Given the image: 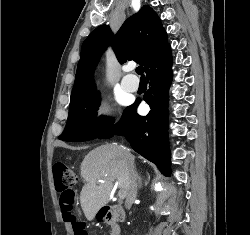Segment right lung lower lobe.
<instances>
[{
  "label": "right lung lower lobe",
  "mask_w": 250,
  "mask_h": 235,
  "mask_svg": "<svg viewBox=\"0 0 250 235\" xmlns=\"http://www.w3.org/2000/svg\"><path fill=\"white\" fill-rule=\"evenodd\" d=\"M149 90L144 101L151 110L147 116H139L136 107L139 100L124 110L120 124L111 125L99 138L124 135L132 148L157 165L165 175H170V152L168 145V90L172 81V56L170 45L156 57L146 69Z\"/></svg>",
  "instance_id": "1"
}]
</instances>
